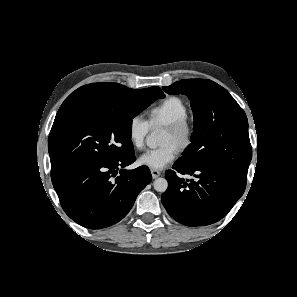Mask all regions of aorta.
<instances>
[{
	"mask_svg": "<svg viewBox=\"0 0 297 297\" xmlns=\"http://www.w3.org/2000/svg\"><path fill=\"white\" fill-rule=\"evenodd\" d=\"M147 142L150 146L154 147L159 143V133L157 131L152 132L147 137ZM154 189L158 192H165L168 188V182L165 178H157L153 182Z\"/></svg>",
	"mask_w": 297,
	"mask_h": 297,
	"instance_id": "762f6f07",
	"label": "aorta"
}]
</instances>
